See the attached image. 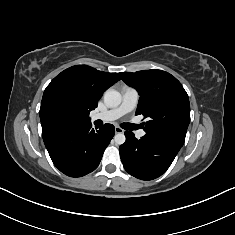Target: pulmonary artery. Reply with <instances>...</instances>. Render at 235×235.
Returning <instances> with one entry per match:
<instances>
[{"label": "pulmonary artery", "mask_w": 235, "mask_h": 235, "mask_svg": "<svg viewBox=\"0 0 235 235\" xmlns=\"http://www.w3.org/2000/svg\"><path fill=\"white\" fill-rule=\"evenodd\" d=\"M138 92L131 87H125L122 92V102L121 104L111 110L96 113L92 116L93 120H102L105 122L113 121L121 116L131 112L137 105ZM145 135L144 130L137 131V137L141 138Z\"/></svg>", "instance_id": "e3ab8cb5"}]
</instances>
